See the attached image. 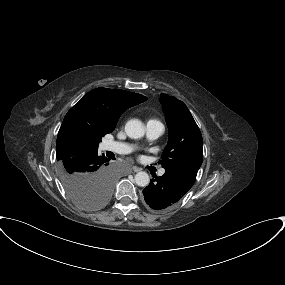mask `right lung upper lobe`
Returning <instances> with one entry per match:
<instances>
[{"label": "right lung upper lobe", "instance_id": "cb5924a9", "mask_svg": "<svg viewBox=\"0 0 285 285\" xmlns=\"http://www.w3.org/2000/svg\"><path fill=\"white\" fill-rule=\"evenodd\" d=\"M147 97L120 89L96 88L86 94L64 117L56 141L57 159L97 150L101 138L112 132L128 108Z\"/></svg>", "mask_w": 285, "mask_h": 285}]
</instances>
